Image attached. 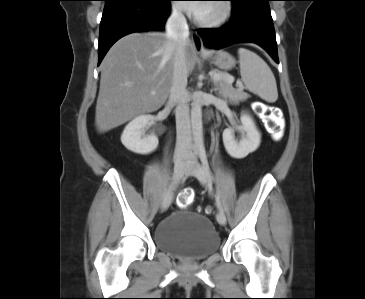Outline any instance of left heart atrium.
<instances>
[{
    "instance_id": "left-heart-atrium-1",
    "label": "left heart atrium",
    "mask_w": 365,
    "mask_h": 299,
    "mask_svg": "<svg viewBox=\"0 0 365 299\" xmlns=\"http://www.w3.org/2000/svg\"><path fill=\"white\" fill-rule=\"evenodd\" d=\"M205 6L206 4L201 3L200 1L198 3L185 4L186 10L195 16H198L204 10Z\"/></svg>"
}]
</instances>
